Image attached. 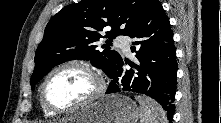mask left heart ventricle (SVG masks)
<instances>
[{
	"label": "left heart ventricle",
	"mask_w": 221,
	"mask_h": 123,
	"mask_svg": "<svg viewBox=\"0 0 221 123\" xmlns=\"http://www.w3.org/2000/svg\"><path fill=\"white\" fill-rule=\"evenodd\" d=\"M96 81L88 73L66 68L55 73L46 87L48 101L60 108L76 105L92 95Z\"/></svg>",
	"instance_id": "obj_1"
}]
</instances>
